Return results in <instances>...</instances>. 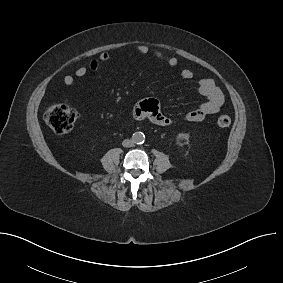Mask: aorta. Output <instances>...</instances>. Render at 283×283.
<instances>
[{
  "instance_id": "1",
  "label": "aorta",
  "mask_w": 283,
  "mask_h": 283,
  "mask_svg": "<svg viewBox=\"0 0 283 283\" xmlns=\"http://www.w3.org/2000/svg\"><path fill=\"white\" fill-rule=\"evenodd\" d=\"M132 141L137 144H141L145 141V135L142 132H135L132 136Z\"/></svg>"
}]
</instances>
